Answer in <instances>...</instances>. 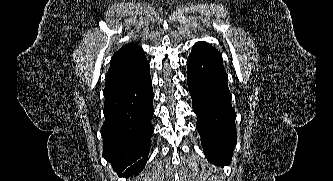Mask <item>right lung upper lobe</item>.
<instances>
[{
	"instance_id": "obj_1",
	"label": "right lung upper lobe",
	"mask_w": 333,
	"mask_h": 181,
	"mask_svg": "<svg viewBox=\"0 0 333 181\" xmlns=\"http://www.w3.org/2000/svg\"><path fill=\"white\" fill-rule=\"evenodd\" d=\"M110 63L105 77L104 95L125 87L149 73V63L144 51L137 44L130 43L120 48Z\"/></svg>"
}]
</instances>
